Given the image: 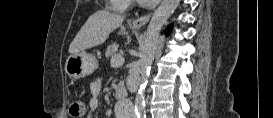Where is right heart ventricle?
Masks as SVG:
<instances>
[{"label":"right heart ventricle","instance_id":"right-heart-ventricle-1","mask_svg":"<svg viewBox=\"0 0 273 118\" xmlns=\"http://www.w3.org/2000/svg\"><path fill=\"white\" fill-rule=\"evenodd\" d=\"M111 2H112V7L116 11H124L127 6V2L125 1L112 0Z\"/></svg>","mask_w":273,"mask_h":118}]
</instances>
